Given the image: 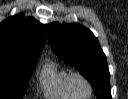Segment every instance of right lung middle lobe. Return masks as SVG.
<instances>
[{"label":"right lung middle lobe","mask_w":128,"mask_h":99,"mask_svg":"<svg viewBox=\"0 0 128 99\" xmlns=\"http://www.w3.org/2000/svg\"><path fill=\"white\" fill-rule=\"evenodd\" d=\"M39 56L0 55V98L20 99Z\"/></svg>","instance_id":"right-lung-middle-lobe-1"}]
</instances>
